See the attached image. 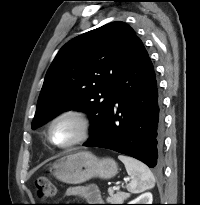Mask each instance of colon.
Wrapping results in <instances>:
<instances>
[{"instance_id":"1","label":"colon","mask_w":200,"mask_h":205,"mask_svg":"<svg viewBox=\"0 0 200 205\" xmlns=\"http://www.w3.org/2000/svg\"><path fill=\"white\" fill-rule=\"evenodd\" d=\"M37 195L42 200H48L56 195V185L49 177H40L36 180Z\"/></svg>"}]
</instances>
